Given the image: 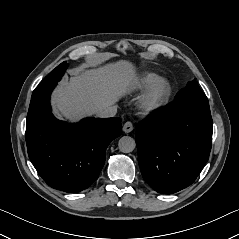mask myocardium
Here are the masks:
<instances>
[{"label": "myocardium", "mask_w": 239, "mask_h": 239, "mask_svg": "<svg viewBox=\"0 0 239 239\" xmlns=\"http://www.w3.org/2000/svg\"><path fill=\"white\" fill-rule=\"evenodd\" d=\"M172 94V85L164 77H158L140 96L137 107L144 113L151 114L162 109Z\"/></svg>", "instance_id": "obj_1"}]
</instances>
